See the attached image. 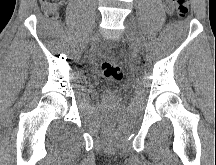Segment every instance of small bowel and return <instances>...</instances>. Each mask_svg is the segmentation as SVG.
Returning <instances> with one entry per match:
<instances>
[{
  "mask_svg": "<svg viewBox=\"0 0 216 165\" xmlns=\"http://www.w3.org/2000/svg\"><path fill=\"white\" fill-rule=\"evenodd\" d=\"M166 6H167V8H170V7H171V2H170V0H166Z\"/></svg>",
  "mask_w": 216,
  "mask_h": 165,
  "instance_id": "1",
  "label": "small bowel"
}]
</instances>
